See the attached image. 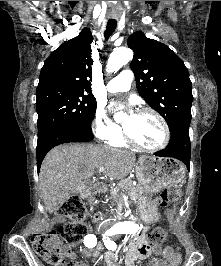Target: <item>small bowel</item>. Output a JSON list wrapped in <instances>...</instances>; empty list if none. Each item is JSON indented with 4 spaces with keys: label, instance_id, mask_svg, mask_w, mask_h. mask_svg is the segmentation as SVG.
Returning <instances> with one entry per match:
<instances>
[{
    "label": "small bowel",
    "instance_id": "1",
    "mask_svg": "<svg viewBox=\"0 0 221 266\" xmlns=\"http://www.w3.org/2000/svg\"><path fill=\"white\" fill-rule=\"evenodd\" d=\"M59 221H63V217H58ZM154 252L153 257L148 266H168L169 252L172 251V247H154L150 248L146 241V236L143 233H138L133 236V240L128 244L124 264L125 266H135V262L138 259H144L148 255ZM100 254V248L94 250L85 251V256L90 259L96 258ZM66 255L71 259H75V254L69 250H66ZM106 266H120L117 255L114 252L107 251L104 254ZM72 266H86L80 261H75Z\"/></svg>",
    "mask_w": 221,
    "mask_h": 266
}]
</instances>
